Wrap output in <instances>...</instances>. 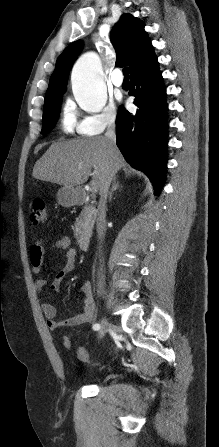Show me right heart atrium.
<instances>
[{"label": "right heart atrium", "mask_w": 219, "mask_h": 447, "mask_svg": "<svg viewBox=\"0 0 219 447\" xmlns=\"http://www.w3.org/2000/svg\"><path fill=\"white\" fill-rule=\"evenodd\" d=\"M117 121V111L113 104H109L100 113L86 116L80 122V129L84 135H97L113 127Z\"/></svg>", "instance_id": "right-heart-atrium-1"}]
</instances>
